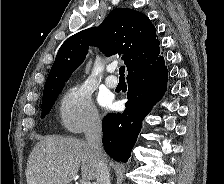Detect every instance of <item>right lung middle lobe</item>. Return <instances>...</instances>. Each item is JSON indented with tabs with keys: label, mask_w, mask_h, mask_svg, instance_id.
I'll list each match as a JSON object with an SVG mask.
<instances>
[{
	"label": "right lung middle lobe",
	"mask_w": 224,
	"mask_h": 184,
	"mask_svg": "<svg viewBox=\"0 0 224 184\" xmlns=\"http://www.w3.org/2000/svg\"><path fill=\"white\" fill-rule=\"evenodd\" d=\"M62 88L53 92V93H50V94H47V95H43V99H42V114H41V117H45V115H47L52 106L54 105V102L57 98V95L61 92Z\"/></svg>",
	"instance_id": "right-lung-middle-lobe-1"
}]
</instances>
